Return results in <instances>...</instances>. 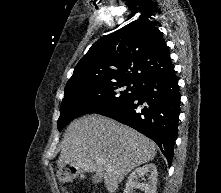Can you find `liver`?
I'll return each instance as SVG.
<instances>
[{
    "label": "liver",
    "mask_w": 221,
    "mask_h": 193,
    "mask_svg": "<svg viewBox=\"0 0 221 193\" xmlns=\"http://www.w3.org/2000/svg\"><path fill=\"white\" fill-rule=\"evenodd\" d=\"M156 156L155 143L136 130L101 115L74 120L66 130L58 160L59 170L73 165L101 176L114 193L134 168ZM98 160H104L101 164ZM112 167V171L107 170Z\"/></svg>",
    "instance_id": "obj_1"
}]
</instances>
